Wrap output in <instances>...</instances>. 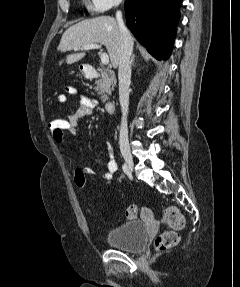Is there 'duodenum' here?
Instances as JSON below:
<instances>
[{
	"instance_id": "1",
	"label": "duodenum",
	"mask_w": 240,
	"mask_h": 287,
	"mask_svg": "<svg viewBox=\"0 0 240 287\" xmlns=\"http://www.w3.org/2000/svg\"><path fill=\"white\" fill-rule=\"evenodd\" d=\"M84 75L86 78H91L96 74V69L92 65H84L83 66ZM116 102L115 101H107L105 103V109L109 113H113L115 111Z\"/></svg>"
}]
</instances>
